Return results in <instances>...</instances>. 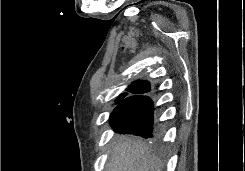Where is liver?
<instances>
[{
	"label": "liver",
	"instance_id": "6515ba94",
	"mask_svg": "<svg viewBox=\"0 0 245 171\" xmlns=\"http://www.w3.org/2000/svg\"><path fill=\"white\" fill-rule=\"evenodd\" d=\"M162 162L141 139H125L112 150L106 171H162Z\"/></svg>",
	"mask_w": 245,
	"mask_h": 171
}]
</instances>
